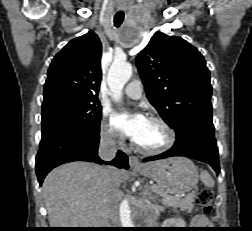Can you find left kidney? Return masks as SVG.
<instances>
[{
  "instance_id": "obj_1",
  "label": "left kidney",
  "mask_w": 252,
  "mask_h": 231,
  "mask_svg": "<svg viewBox=\"0 0 252 231\" xmlns=\"http://www.w3.org/2000/svg\"><path fill=\"white\" fill-rule=\"evenodd\" d=\"M165 224L169 227V228H185L186 223L183 219L180 218H173V219H169L165 222Z\"/></svg>"
}]
</instances>
